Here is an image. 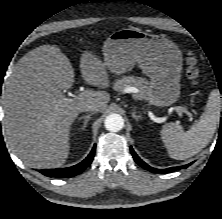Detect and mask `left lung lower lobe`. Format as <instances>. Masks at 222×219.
Here are the masks:
<instances>
[{"mask_svg":"<svg viewBox=\"0 0 222 219\" xmlns=\"http://www.w3.org/2000/svg\"><path fill=\"white\" fill-rule=\"evenodd\" d=\"M130 151L132 153V156L135 160L136 163H138L142 168L151 171V172H156V173H170L176 170H180V169H185L187 168L190 164L184 165V166H178V167H172V168H167V169H156V168H152L149 165H147L144 161H142L137 154L134 152L133 148L130 147Z\"/></svg>","mask_w":222,"mask_h":219,"instance_id":"0a47b994","label":"left lung lower lobe"}]
</instances>
